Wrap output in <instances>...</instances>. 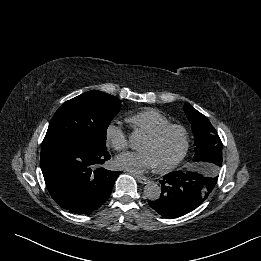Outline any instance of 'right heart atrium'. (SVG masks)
<instances>
[{"label":"right heart atrium","instance_id":"obj_1","mask_svg":"<svg viewBox=\"0 0 261 261\" xmlns=\"http://www.w3.org/2000/svg\"><path fill=\"white\" fill-rule=\"evenodd\" d=\"M106 143L116 151H123L128 147V137L125 131L115 122H110L105 128Z\"/></svg>","mask_w":261,"mask_h":261}]
</instances>
